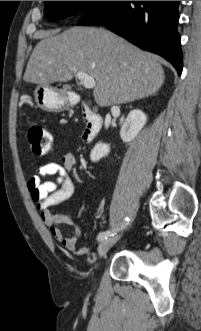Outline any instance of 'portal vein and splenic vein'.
I'll use <instances>...</instances> for the list:
<instances>
[{
    "instance_id": "1",
    "label": "portal vein and splenic vein",
    "mask_w": 201,
    "mask_h": 331,
    "mask_svg": "<svg viewBox=\"0 0 201 331\" xmlns=\"http://www.w3.org/2000/svg\"><path fill=\"white\" fill-rule=\"evenodd\" d=\"M76 77L80 80L81 84L87 89L94 88L96 85L94 78L85 72H78L76 74Z\"/></svg>"
}]
</instances>
